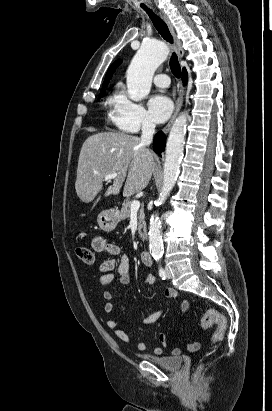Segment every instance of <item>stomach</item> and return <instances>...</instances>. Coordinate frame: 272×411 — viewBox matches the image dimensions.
Listing matches in <instances>:
<instances>
[{"mask_svg": "<svg viewBox=\"0 0 272 411\" xmlns=\"http://www.w3.org/2000/svg\"><path fill=\"white\" fill-rule=\"evenodd\" d=\"M119 221V215L114 210L102 211L97 217L99 227L106 232L113 231Z\"/></svg>", "mask_w": 272, "mask_h": 411, "instance_id": "0dacf381", "label": "stomach"}]
</instances>
